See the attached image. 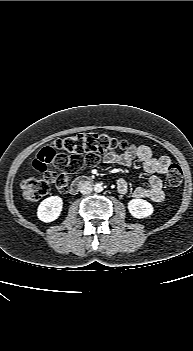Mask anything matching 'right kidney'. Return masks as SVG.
<instances>
[{"label": "right kidney", "instance_id": "obj_1", "mask_svg": "<svg viewBox=\"0 0 193 351\" xmlns=\"http://www.w3.org/2000/svg\"><path fill=\"white\" fill-rule=\"evenodd\" d=\"M63 200L59 196H51L44 199L37 209V216L43 222H52L56 220L62 211Z\"/></svg>", "mask_w": 193, "mask_h": 351}]
</instances>
